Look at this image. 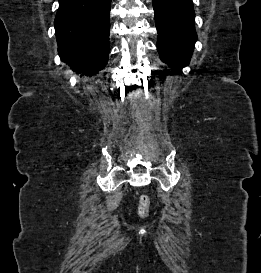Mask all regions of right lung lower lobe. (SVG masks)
<instances>
[{
    "label": "right lung lower lobe",
    "mask_w": 261,
    "mask_h": 273,
    "mask_svg": "<svg viewBox=\"0 0 261 273\" xmlns=\"http://www.w3.org/2000/svg\"><path fill=\"white\" fill-rule=\"evenodd\" d=\"M111 0H59L54 25L62 61L83 74L104 68L109 54Z\"/></svg>",
    "instance_id": "right-lung-lower-lobe-1"
}]
</instances>
